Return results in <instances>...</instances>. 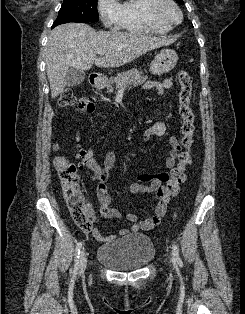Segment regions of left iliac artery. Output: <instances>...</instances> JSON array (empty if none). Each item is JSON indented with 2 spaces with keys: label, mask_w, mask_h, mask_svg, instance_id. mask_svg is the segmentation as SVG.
Returning a JSON list of instances; mask_svg holds the SVG:
<instances>
[{
  "label": "left iliac artery",
  "mask_w": 245,
  "mask_h": 314,
  "mask_svg": "<svg viewBox=\"0 0 245 314\" xmlns=\"http://www.w3.org/2000/svg\"><path fill=\"white\" fill-rule=\"evenodd\" d=\"M172 256H173L174 260H176V262L179 264V266L183 265V262L180 258V255H179L178 247L175 244L172 245Z\"/></svg>",
  "instance_id": "1"
}]
</instances>
